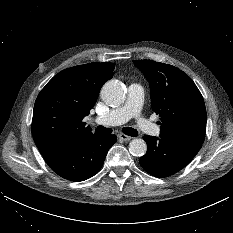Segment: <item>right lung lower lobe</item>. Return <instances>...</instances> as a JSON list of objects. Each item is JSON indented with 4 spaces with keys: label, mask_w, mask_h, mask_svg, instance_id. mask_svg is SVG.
<instances>
[{
    "label": "right lung lower lobe",
    "mask_w": 233,
    "mask_h": 233,
    "mask_svg": "<svg viewBox=\"0 0 233 233\" xmlns=\"http://www.w3.org/2000/svg\"><path fill=\"white\" fill-rule=\"evenodd\" d=\"M116 141L115 135L96 134L43 157L59 176L84 181L101 169L108 150Z\"/></svg>",
    "instance_id": "1"
}]
</instances>
